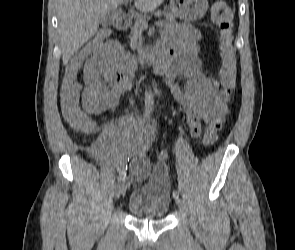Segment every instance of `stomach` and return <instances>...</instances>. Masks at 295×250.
Masks as SVG:
<instances>
[{
	"mask_svg": "<svg viewBox=\"0 0 295 250\" xmlns=\"http://www.w3.org/2000/svg\"><path fill=\"white\" fill-rule=\"evenodd\" d=\"M208 0H170L171 12L185 20H197L208 10Z\"/></svg>",
	"mask_w": 295,
	"mask_h": 250,
	"instance_id": "0dacf381",
	"label": "stomach"
}]
</instances>
